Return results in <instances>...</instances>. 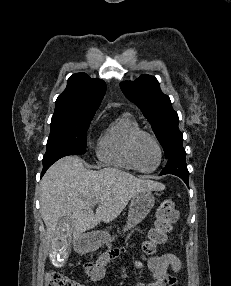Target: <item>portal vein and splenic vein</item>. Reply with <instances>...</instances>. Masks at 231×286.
Wrapping results in <instances>:
<instances>
[{
    "mask_svg": "<svg viewBox=\"0 0 231 286\" xmlns=\"http://www.w3.org/2000/svg\"><path fill=\"white\" fill-rule=\"evenodd\" d=\"M96 203H97V201L93 202L92 205H94V204H96Z\"/></svg>",
    "mask_w": 231,
    "mask_h": 286,
    "instance_id": "18ae733b",
    "label": "portal vein and splenic vein"
}]
</instances>
